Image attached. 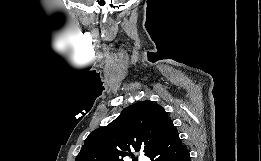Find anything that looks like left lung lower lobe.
Returning a JSON list of instances; mask_svg holds the SVG:
<instances>
[{
	"mask_svg": "<svg viewBox=\"0 0 261 161\" xmlns=\"http://www.w3.org/2000/svg\"><path fill=\"white\" fill-rule=\"evenodd\" d=\"M149 158L152 161H191L189 152L181 143L177 130L165 144L156 148Z\"/></svg>",
	"mask_w": 261,
	"mask_h": 161,
	"instance_id": "left-lung-lower-lobe-1",
	"label": "left lung lower lobe"
}]
</instances>
